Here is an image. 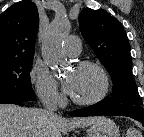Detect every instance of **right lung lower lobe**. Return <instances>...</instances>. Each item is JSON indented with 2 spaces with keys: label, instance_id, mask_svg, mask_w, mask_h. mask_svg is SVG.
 Masks as SVG:
<instances>
[{
  "label": "right lung lower lobe",
  "instance_id": "right-lung-lower-lobe-1",
  "mask_svg": "<svg viewBox=\"0 0 144 137\" xmlns=\"http://www.w3.org/2000/svg\"><path fill=\"white\" fill-rule=\"evenodd\" d=\"M11 103L23 106L22 100L16 98H0V104Z\"/></svg>",
  "mask_w": 144,
  "mask_h": 137
}]
</instances>
